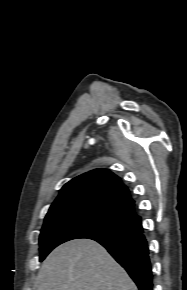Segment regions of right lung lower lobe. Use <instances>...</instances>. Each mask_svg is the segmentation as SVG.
Instances as JSON below:
<instances>
[{"instance_id": "obj_1", "label": "right lung lower lobe", "mask_w": 187, "mask_h": 290, "mask_svg": "<svg viewBox=\"0 0 187 290\" xmlns=\"http://www.w3.org/2000/svg\"><path fill=\"white\" fill-rule=\"evenodd\" d=\"M88 239L103 245L125 268L139 290H153L149 250L141 221L116 231L94 235Z\"/></svg>"}]
</instances>
